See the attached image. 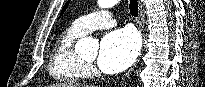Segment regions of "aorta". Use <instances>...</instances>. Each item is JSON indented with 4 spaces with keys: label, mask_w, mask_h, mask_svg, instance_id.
Here are the masks:
<instances>
[{
    "label": "aorta",
    "mask_w": 205,
    "mask_h": 87,
    "mask_svg": "<svg viewBox=\"0 0 205 87\" xmlns=\"http://www.w3.org/2000/svg\"><path fill=\"white\" fill-rule=\"evenodd\" d=\"M119 0H98V5L101 8H111L116 5ZM77 46L81 50H89L95 51L96 50V41L93 38H83L80 39L77 43Z\"/></svg>",
    "instance_id": "aorta-1"
}]
</instances>
